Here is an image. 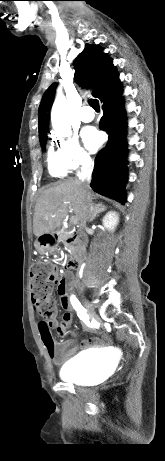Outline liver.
<instances>
[{"label":"liver","instance_id":"6515ba94","mask_svg":"<svg viewBox=\"0 0 165 461\" xmlns=\"http://www.w3.org/2000/svg\"><path fill=\"white\" fill-rule=\"evenodd\" d=\"M90 197V201L87 200ZM92 193L85 190L77 179L59 182L43 191L39 197L33 218V232L39 238L60 226L68 212H73L80 226L85 227L89 214L97 211Z\"/></svg>","mask_w":165,"mask_h":461}]
</instances>
